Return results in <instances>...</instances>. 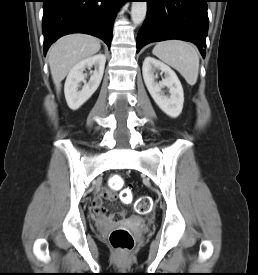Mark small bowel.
<instances>
[{
    "label": "small bowel",
    "mask_w": 258,
    "mask_h": 275,
    "mask_svg": "<svg viewBox=\"0 0 258 275\" xmlns=\"http://www.w3.org/2000/svg\"><path fill=\"white\" fill-rule=\"evenodd\" d=\"M103 198H107L109 200H113L115 198L114 193L112 190L102 188L99 189L92 201V208L93 210L102 218H111V213L109 210L103 205Z\"/></svg>",
    "instance_id": "c3829d8e"
}]
</instances>
